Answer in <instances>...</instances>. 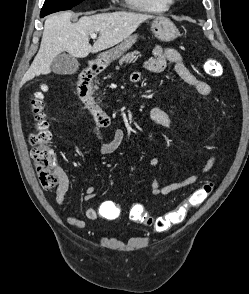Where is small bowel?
<instances>
[{"label":"small bowel","mask_w":249,"mask_h":294,"mask_svg":"<svg viewBox=\"0 0 249 294\" xmlns=\"http://www.w3.org/2000/svg\"><path fill=\"white\" fill-rule=\"evenodd\" d=\"M166 61H170L173 64L177 75L188 85L194 87L198 94L201 96L210 95L211 87L190 70L181 54L173 48L161 46L154 47L153 56L143 63V68L154 72H161L165 68ZM140 78L141 73L138 71L132 73L131 75L132 82H138ZM149 116L153 122L166 129H171L173 127V123L170 117L159 107L151 108ZM108 127L109 125L107 122L95 119V124L91 128V133L97 141L99 152L103 155H111L115 153L125 140L124 131L122 129H117L110 141H103L101 138V130ZM215 160V155L210 156L200 173L188 176L182 180L172 182L164 186L160 184L157 175L154 174L151 182V194L156 197L165 196L172 192L187 188L188 186L197 182L202 175L210 171L215 163ZM149 164L150 167L155 170L159 167L160 161L158 158H152ZM69 188V179L63 173L62 183L58 186L55 195V202L58 206L64 205ZM95 193L96 187L93 185L88 186L85 190L84 200L91 201L95 197ZM116 208V205L112 201L105 200L100 202L97 207L88 206L85 209V216L88 220L91 221L98 220L99 218L109 220L116 219L118 217L112 218L110 216V211ZM66 220L70 225L79 229L86 228V222L74 215H68Z\"/></svg>","instance_id":"obj_1"}]
</instances>
